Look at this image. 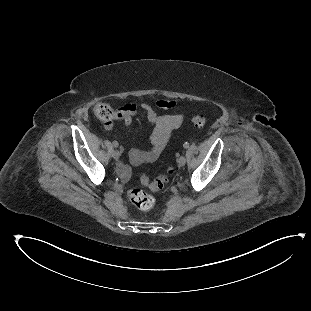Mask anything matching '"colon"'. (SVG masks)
I'll return each instance as SVG.
<instances>
[{"label":"colon","mask_w":311,"mask_h":311,"mask_svg":"<svg viewBox=\"0 0 311 311\" xmlns=\"http://www.w3.org/2000/svg\"><path fill=\"white\" fill-rule=\"evenodd\" d=\"M92 113L99 120L105 123L111 121L115 117V112L106 103H97L92 107ZM208 116L204 112H198L191 118V123L196 128H203L207 124ZM173 174V169H168L165 173L150 180L147 177L142 179V183L149 187L151 190H161L169 181L170 176ZM127 195L130 201L140 210L149 211L153 208L155 200L152 196L145 193L143 190L131 187L127 190Z\"/></svg>","instance_id":"obj_1"}]
</instances>
